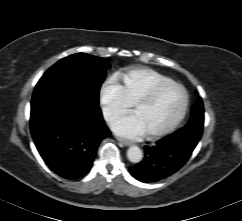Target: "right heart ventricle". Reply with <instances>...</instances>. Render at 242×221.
I'll return each instance as SVG.
<instances>
[{"mask_svg": "<svg viewBox=\"0 0 242 221\" xmlns=\"http://www.w3.org/2000/svg\"><path fill=\"white\" fill-rule=\"evenodd\" d=\"M129 99L134 104L157 84L171 81L167 76L149 68H135L117 75Z\"/></svg>", "mask_w": 242, "mask_h": 221, "instance_id": "1", "label": "right heart ventricle"}]
</instances>
